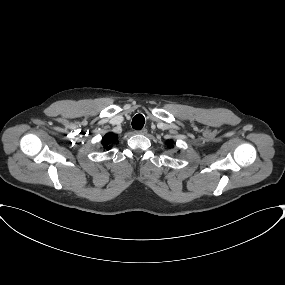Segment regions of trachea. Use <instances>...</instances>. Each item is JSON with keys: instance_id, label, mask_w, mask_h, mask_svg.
<instances>
[{"instance_id": "1", "label": "trachea", "mask_w": 285, "mask_h": 285, "mask_svg": "<svg viewBox=\"0 0 285 285\" xmlns=\"http://www.w3.org/2000/svg\"><path fill=\"white\" fill-rule=\"evenodd\" d=\"M145 123V118L142 114H137L134 116L132 120V127L136 130H140L143 128Z\"/></svg>"}]
</instances>
